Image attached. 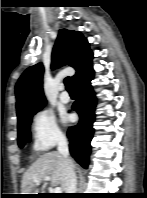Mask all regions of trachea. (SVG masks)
<instances>
[{"label": "trachea", "instance_id": "1", "mask_svg": "<svg viewBox=\"0 0 147 198\" xmlns=\"http://www.w3.org/2000/svg\"><path fill=\"white\" fill-rule=\"evenodd\" d=\"M64 84L66 86V89L69 91V92H74L75 89H74V86H73V83H72V80L70 77H66L65 80H64Z\"/></svg>", "mask_w": 147, "mask_h": 198}]
</instances>
